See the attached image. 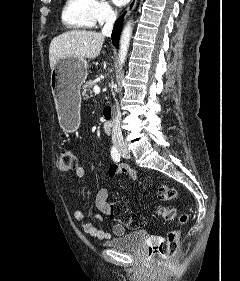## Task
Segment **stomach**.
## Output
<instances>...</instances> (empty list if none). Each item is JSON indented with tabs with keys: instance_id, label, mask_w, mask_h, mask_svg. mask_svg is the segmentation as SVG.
Wrapping results in <instances>:
<instances>
[{
	"instance_id": "0dacf381",
	"label": "stomach",
	"mask_w": 240,
	"mask_h": 281,
	"mask_svg": "<svg viewBox=\"0 0 240 281\" xmlns=\"http://www.w3.org/2000/svg\"><path fill=\"white\" fill-rule=\"evenodd\" d=\"M88 62L83 58L61 59L51 71L50 85L62 128L75 131L80 125V89L85 82Z\"/></svg>"
}]
</instances>
